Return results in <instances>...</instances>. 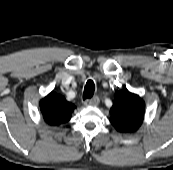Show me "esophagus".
I'll list each match as a JSON object with an SVG mask.
<instances>
[{"instance_id": "1", "label": "esophagus", "mask_w": 173, "mask_h": 170, "mask_svg": "<svg viewBox=\"0 0 173 170\" xmlns=\"http://www.w3.org/2000/svg\"><path fill=\"white\" fill-rule=\"evenodd\" d=\"M99 102H100L99 98L95 96L91 99L85 100L84 105L85 106H97L99 104Z\"/></svg>"}]
</instances>
